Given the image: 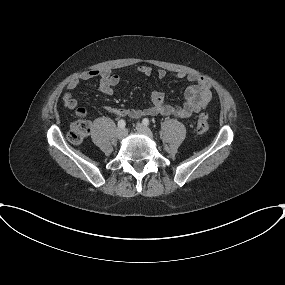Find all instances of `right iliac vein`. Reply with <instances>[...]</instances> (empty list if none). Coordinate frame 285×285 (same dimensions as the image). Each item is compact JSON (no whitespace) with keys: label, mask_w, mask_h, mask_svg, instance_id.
Instances as JSON below:
<instances>
[{"label":"right iliac vein","mask_w":285,"mask_h":285,"mask_svg":"<svg viewBox=\"0 0 285 285\" xmlns=\"http://www.w3.org/2000/svg\"><path fill=\"white\" fill-rule=\"evenodd\" d=\"M116 136L118 139H124L127 136V130L122 128L117 129Z\"/></svg>","instance_id":"obj_1"}]
</instances>
